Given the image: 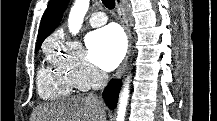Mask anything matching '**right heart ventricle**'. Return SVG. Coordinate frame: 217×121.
<instances>
[{"label": "right heart ventricle", "mask_w": 217, "mask_h": 121, "mask_svg": "<svg viewBox=\"0 0 217 121\" xmlns=\"http://www.w3.org/2000/svg\"><path fill=\"white\" fill-rule=\"evenodd\" d=\"M37 87L41 98L57 100L69 96L74 85L58 68L42 67L38 74Z\"/></svg>", "instance_id": "right-heart-ventricle-1"}]
</instances>
